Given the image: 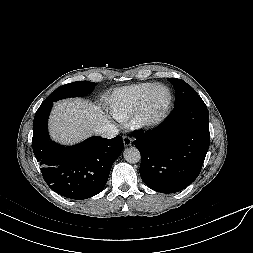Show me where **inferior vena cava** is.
Returning a JSON list of instances; mask_svg holds the SVG:
<instances>
[{"label":"inferior vena cava","mask_w":253,"mask_h":253,"mask_svg":"<svg viewBox=\"0 0 253 253\" xmlns=\"http://www.w3.org/2000/svg\"><path fill=\"white\" fill-rule=\"evenodd\" d=\"M94 132L103 138H114L118 135V128L109 122L96 127Z\"/></svg>","instance_id":"obj_1"}]
</instances>
